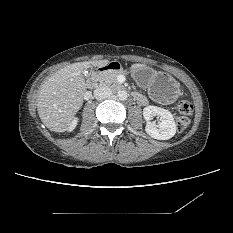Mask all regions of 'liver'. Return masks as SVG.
<instances>
[{
    "label": "liver",
    "instance_id": "1",
    "mask_svg": "<svg viewBox=\"0 0 233 233\" xmlns=\"http://www.w3.org/2000/svg\"><path fill=\"white\" fill-rule=\"evenodd\" d=\"M108 64L107 59L73 63L50 76L41 85L37 97V111L42 123L54 132L68 130L83 104L87 89L82 72L93 66L102 67ZM132 67L146 65L133 64Z\"/></svg>",
    "mask_w": 233,
    "mask_h": 233
}]
</instances>
